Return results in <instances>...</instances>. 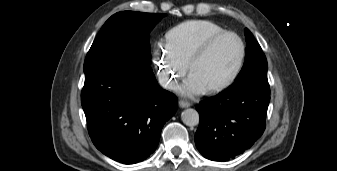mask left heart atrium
I'll use <instances>...</instances> for the list:
<instances>
[{
    "label": "left heart atrium",
    "instance_id": "39dd6f15",
    "mask_svg": "<svg viewBox=\"0 0 337 171\" xmlns=\"http://www.w3.org/2000/svg\"><path fill=\"white\" fill-rule=\"evenodd\" d=\"M180 90L188 95H199L204 93L207 87L196 76L190 74L185 83L180 87Z\"/></svg>",
    "mask_w": 337,
    "mask_h": 171
}]
</instances>
